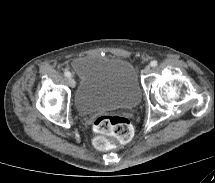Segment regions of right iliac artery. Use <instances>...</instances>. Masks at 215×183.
<instances>
[{"label": "right iliac artery", "instance_id": "1", "mask_svg": "<svg viewBox=\"0 0 215 183\" xmlns=\"http://www.w3.org/2000/svg\"><path fill=\"white\" fill-rule=\"evenodd\" d=\"M65 76L67 77V78H70L71 77V73L69 72V71H65Z\"/></svg>", "mask_w": 215, "mask_h": 183}]
</instances>
